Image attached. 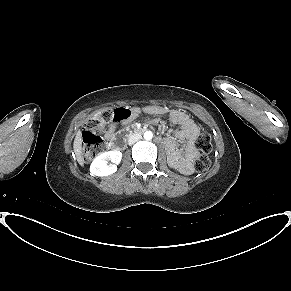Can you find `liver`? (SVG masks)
I'll return each instance as SVG.
<instances>
[{
    "instance_id": "1",
    "label": "liver",
    "mask_w": 291,
    "mask_h": 291,
    "mask_svg": "<svg viewBox=\"0 0 291 291\" xmlns=\"http://www.w3.org/2000/svg\"><path fill=\"white\" fill-rule=\"evenodd\" d=\"M73 149L76 155V159L78 163L83 166L84 165V158L82 156V134L81 131H78L74 143H73Z\"/></svg>"
}]
</instances>
